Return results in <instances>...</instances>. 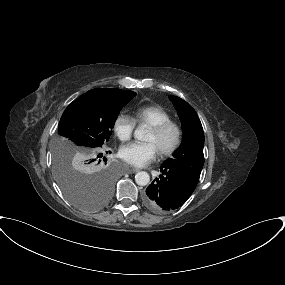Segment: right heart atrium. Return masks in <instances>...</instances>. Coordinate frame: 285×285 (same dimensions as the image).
<instances>
[{
    "label": "right heart atrium",
    "instance_id": "1",
    "mask_svg": "<svg viewBox=\"0 0 285 285\" xmlns=\"http://www.w3.org/2000/svg\"><path fill=\"white\" fill-rule=\"evenodd\" d=\"M134 128L135 121L127 114H119L113 122V130L122 141H127L131 138Z\"/></svg>",
    "mask_w": 285,
    "mask_h": 285
}]
</instances>
